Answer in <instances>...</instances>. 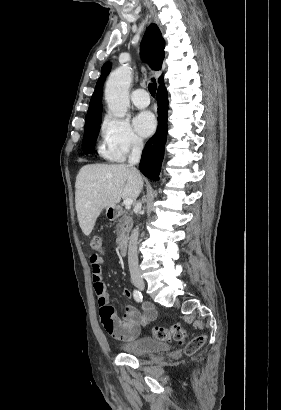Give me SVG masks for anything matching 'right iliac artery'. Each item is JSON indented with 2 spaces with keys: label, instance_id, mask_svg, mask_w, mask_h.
Listing matches in <instances>:
<instances>
[{
  "label": "right iliac artery",
  "instance_id": "82829eb1",
  "mask_svg": "<svg viewBox=\"0 0 281 410\" xmlns=\"http://www.w3.org/2000/svg\"><path fill=\"white\" fill-rule=\"evenodd\" d=\"M133 296H134V299L137 301V302H142V294H141V292H139L138 290H134L133 291Z\"/></svg>",
  "mask_w": 281,
  "mask_h": 410
}]
</instances>
